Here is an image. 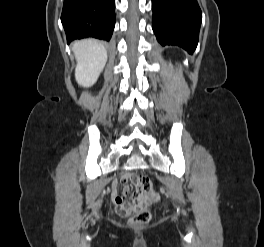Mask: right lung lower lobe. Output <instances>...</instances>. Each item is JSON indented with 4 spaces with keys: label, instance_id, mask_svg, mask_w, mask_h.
Listing matches in <instances>:
<instances>
[{
    "label": "right lung lower lobe",
    "instance_id": "1",
    "mask_svg": "<svg viewBox=\"0 0 264 247\" xmlns=\"http://www.w3.org/2000/svg\"><path fill=\"white\" fill-rule=\"evenodd\" d=\"M61 21L68 43L87 37L109 41L115 25V0H64Z\"/></svg>",
    "mask_w": 264,
    "mask_h": 247
}]
</instances>
